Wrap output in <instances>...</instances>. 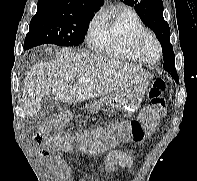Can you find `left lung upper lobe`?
<instances>
[{
  "label": "left lung upper lobe",
  "mask_w": 197,
  "mask_h": 181,
  "mask_svg": "<svg viewBox=\"0 0 197 181\" xmlns=\"http://www.w3.org/2000/svg\"><path fill=\"white\" fill-rule=\"evenodd\" d=\"M129 6H134L140 19L154 31L162 46L163 68L178 82L175 69L174 52L170 43V28L163 18L162 0H120Z\"/></svg>",
  "instance_id": "5c2ea615"
}]
</instances>
